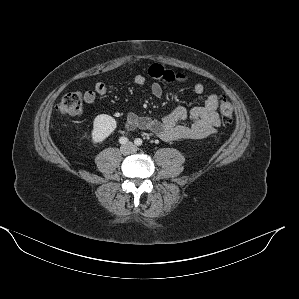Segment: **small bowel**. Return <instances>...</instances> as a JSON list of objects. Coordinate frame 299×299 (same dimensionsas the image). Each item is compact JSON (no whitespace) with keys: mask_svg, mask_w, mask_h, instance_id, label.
<instances>
[{"mask_svg":"<svg viewBox=\"0 0 299 299\" xmlns=\"http://www.w3.org/2000/svg\"><path fill=\"white\" fill-rule=\"evenodd\" d=\"M148 76L155 80L150 87L151 94L155 97H161L163 94L161 82L186 83L188 81L187 74L165 69L159 64H153L148 68ZM146 80V76L139 73L134 76L133 83L143 85ZM112 89L113 85L108 81H98L93 90H87L84 93V101L90 106H95L97 97L107 94ZM193 91L196 94H202L205 91V87L201 83H195ZM218 103L219 96L213 93L207 96L202 106L195 107L190 111L182 106L176 107L162 120H155L147 116H139L134 112H128L125 128L129 131H150L163 141L205 138L214 133L221 125V119L217 112ZM186 121L191 123L186 124Z\"/></svg>","mask_w":299,"mask_h":299,"instance_id":"c3829d8e","label":"small bowel"}]
</instances>
